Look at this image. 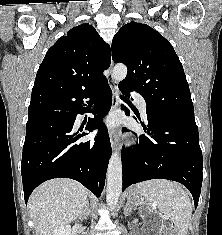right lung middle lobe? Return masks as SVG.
Listing matches in <instances>:
<instances>
[{"instance_id": "right-lung-middle-lobe-1", "label": "right lung middle lobe", "mask_w": 222, "mask_h": 235, "mask_svg": "<svg viewBox=\"0 0 222 235\" xmlns=\"http://www.w3.org/2000/svg\"><path fill=\"white\" fill-rule=\"evenodd\" d=\"M57 122L53 119H42V120H35V121H28L26 124V134L34 132L40 128L56 124Z\"/></svg>"}]
</instances>
